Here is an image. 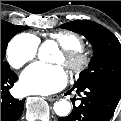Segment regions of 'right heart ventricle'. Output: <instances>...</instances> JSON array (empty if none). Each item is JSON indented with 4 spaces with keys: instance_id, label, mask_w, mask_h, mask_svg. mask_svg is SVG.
Returning a JSON list of instances; mask_svg holds the SVG:
<instances>
[{
    "instance_id": "1",
    "label": "right heart ventricle",
    "mask_w": 121,
    "mask_h": 121,
    "mask_svg": "<svg viewBox=\"0 0 121 121\" xmlns=\"http://www.w3.org/2000/svg\"><path fill=\"white\" fill-rule=\"evenodd\" d=\"M50 37L52 39L56 40L57 43L62 48L71 49V48H81L82 47V43H81L80 39L71 33L55 32V33H51Z\"/></svg>"
}]
</instances>
